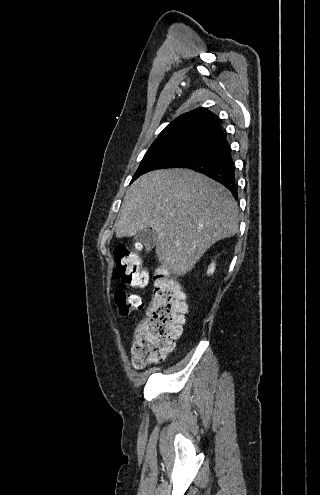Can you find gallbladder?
Returning <instances> with one entry per match:
<instances>
[{"instance_id": "obj_1", "label": "gallbladder", "mask_w": 320, "mask_h": 495, "mask_svg": "<svg viewBox=\"0 0 320 495\" xmlns=\"http://www.w3.org/2000/svg\"><path fill=\"white\" fill-rule=\"evenodd\" d=\"M135 241L142 243L146 250H151L157 243V233L152 228H146L137 233Z\"/></svg>"}]
</instances>
